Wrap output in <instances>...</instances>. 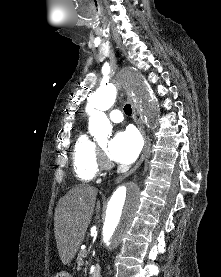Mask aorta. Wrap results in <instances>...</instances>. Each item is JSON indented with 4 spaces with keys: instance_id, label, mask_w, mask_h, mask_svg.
Instances as JSON below:
<instances>
[{
    "instance_id": "aorta-1",
    "label": "aorta",
    "mask_w": 221,
    "mask_h": 277,
    "mask_svg": "<svg viewBox=\"0 0 221 277\" xmlns=\"http://www.w3.org/2000/svg\"><path fill=\"white\" fill-rule=\"evenodd\" d=\"M127 89L143 104L148 121L158 124L161 116L160 104L136 69L122 74ZM117 97L116 82L100 86L88 100L89 132L98 141L108 137L112 125L105 115ZM140 205V189L134 183L119 186L111 195L102 224L101 235L105 252L117 247L130 229Z\"/></svg>"
}]
</instances>
